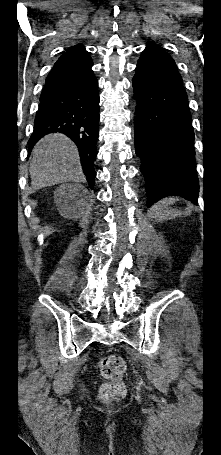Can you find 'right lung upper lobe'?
I'll use <instances>...</instances> for the list:
<instances>
[{"label": "right lung upper lobe", "mask_w": 221, "mask_h": 455, "mask_svg": "<svg viewBox=\"0 0 221 455\" xmlns=\"http://www.w3.org/2000/svg\"><path fill=\"white\" fill-rule=\"evenodd\" d=\"M81 49H84V46L79 44V45H76V46L72 47L71 49L67 50L64 54L75 51V50H81Z\"/></svg>", "instance_id": "cb5924a9"}]
</instances>
